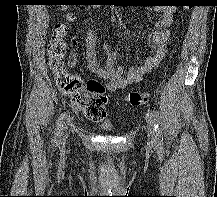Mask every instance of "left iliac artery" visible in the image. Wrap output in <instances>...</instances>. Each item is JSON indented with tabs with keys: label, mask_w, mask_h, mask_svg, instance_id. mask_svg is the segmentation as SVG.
<instances>
[{
	"label": "left iliac artery",
	"mask_w": 217,
	"mask_h": 197,
	"mask_svg": "<svg viewBox=\"0 0 217 197\" xmlns=\"http://www.w3.org/2000/svg\"><path fill=\"white\" fill-rule=\"evenodd\" d=\"M148 116L151 118L153 124H154V129L156 133V141L158 144H162L163 141V135H162V128H161V122L160 119L157 115V113L153 110H148Z\"/></svg>",
	"instance_id": "left-iliac-artery-1"
}]
</instances>
